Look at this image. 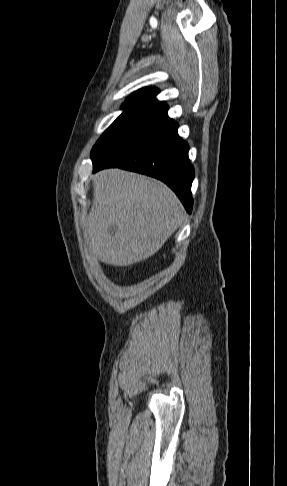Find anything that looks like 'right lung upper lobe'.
Returning a JSON list of instances; mask_svg holds the SVG:
<instances>
[{
  "label": "right lung upper lobe",
  "instance_id": "obj_1",
  "mask_svg": "<svg viewBox=\"0 0 287 486\" xmlns=\"http://www.w3.org/2000/svg\"><path fill=\"white\" fill-rule=\"evenodd\" d=\"M158 93L159 90L156 88H143L131 94L122 107H151L167 110L166 103L155 98Z\"/></svg>",
  "mask_w": 287,
  "mask_h": 486
}]
</instances>
